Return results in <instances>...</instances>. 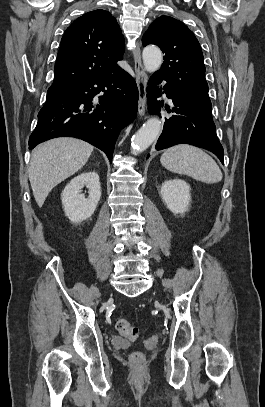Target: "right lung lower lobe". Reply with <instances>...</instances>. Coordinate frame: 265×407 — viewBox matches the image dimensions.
<instances>
[{
	"label": "right lung lower lobe",
	"mask_w": 265,
	"mask_h": 407,
	"mask_svg": "<svg viewBox=\"0 0 265 407\" xmlns=\"http://www.w3.org/2000/svg\"><path fill=\"white\" fill-rule=\"evenodd\" d=\"M103 91L99 102L94 96ZM138 89L124 70L90 77L65 94L47 99L29 138V149L48 139L80 138L104 151L112 162L115 142L137 113Z\"/></svg>",
	"instance_id": "98d812e1"
}]
</instances>
